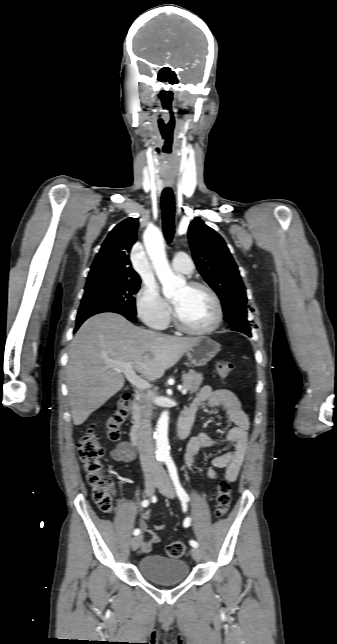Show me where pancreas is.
Segmentation results:
<instances>
[{
  "mask_svg": "<svg viewBox=\"0 0 337 644\" xmlns=\"http://www.w3.org/2000/svg\"><path fill=\"white\" fill-rule=\"evenodd\" d=\"M202 380V374L197 373L194 370H190L188 373L183 375V387L186 388L190 394H193L199 389Z\"/></svg>",
  "mask_w": 337,
  "mask_h": 644,
  "instance_id": "1",
  "label": "pancreas"
}]
</instances>
